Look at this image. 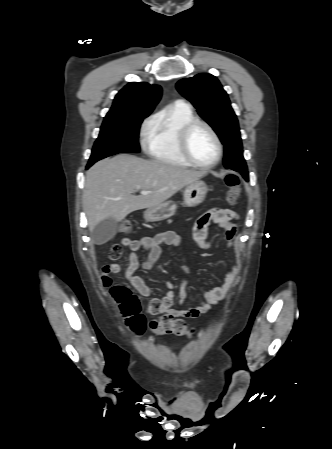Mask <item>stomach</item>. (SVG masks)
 <instances>
[{
    "mask_svg": "<svg viewBox=\"0 0 332 449\" xmlns=\"http://www.w3.org/2000/svg\"><path fill=\"white\" fill-rule=\"evenodd\" d=\"M208 192L204 181L197 180L186 186L183 199L187 207H195L201 204ZM177 205L174 201H165L157 206L147 208L144 211V219L147 222H158L170 218L176 212Z\"/></svg>",
    "mask_w": 332,
    "mask_h": 449,
    "instance_id": "0dacf381",
    "label": "stomach"
}]
</instances>
